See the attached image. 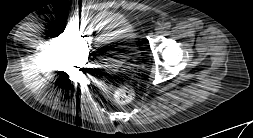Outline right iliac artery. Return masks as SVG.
Instances as JSON below:
<instances>
[{
	"instance_id": "obj_1",
	"label": "right iliac artery",
	"mask_w": 253,
	"mask_h": 138,
	"mask_svg": "<svg viewBox=\"0 0 253 138\" xmlns=\"http://www.w3.org/2000/svg\"><path fill=\"white\" fill-rule=\"evenodd\" d=\"M73 25H74V23H73L72 21H69V22L67 23V26H68L69 28H72Z\"/></svg>"
}]
</instances>
